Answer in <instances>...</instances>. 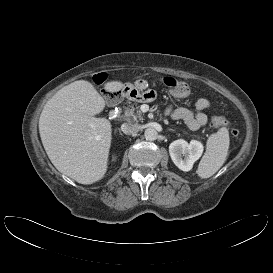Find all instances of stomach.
<instances>
[{
  "instance_id": "obj_1",
  "label": "stomach",
  "mask_w": 273,
  "mask_h": 273,
  "mask_svg": "<svg viewBox=\"0 0 273 273\" xmlns=\"http://www.w3.org/2000/svg\"><path fill=\"white\" fill-rule=\"evenodd\" d=\"M143 89L145 88L129 86L127 91H124L125 88L122 90V96L137 102H151L156 98V93L153 90L143 91Z\"/></svg>"
}]
</instances>
